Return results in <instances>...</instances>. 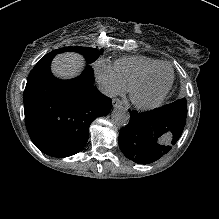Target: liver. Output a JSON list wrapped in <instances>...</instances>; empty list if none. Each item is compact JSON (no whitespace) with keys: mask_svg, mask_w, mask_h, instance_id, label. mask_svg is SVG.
<instances>
[{"mask_svg":"<svg viewBox=\"0 0 219 219\" xmlns=\"http://www.w3.org/2000/svg\"><path fill=\"white\" fill-rule=\"evenodd\" d=\"M85 63L81 56L73 53L58 55L52 62V72L61 79L77 77L83 70Z\"/></svg>","mask_w":219,"mask_h":219,"instance_id":"6515ba94","label":"liver"}]
</instances>
